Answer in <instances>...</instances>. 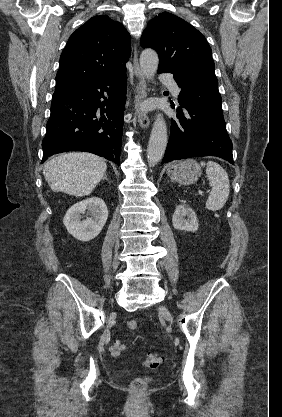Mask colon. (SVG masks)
<instances>
[{
    "label": "colon",
    "instance_id": "colon-1",
    "mask_svg": "<svg viewBox=\"0 0 282 417\" xmlns=\"http://www.w3.org/2000/svg\"><path fill=\"white\" fill-rule=\"evenodd\" d=\"M127 328L132 331L136 332L139 328L138 322L135 319L128 320L126 323ZM125 349L124 344L121 341H115L109 348V353L113 358H119ZM162 360L161 356L157 353H149L144 361L143 367L148 369H157L161 365ZM149 378L147 377H139L136 379H131V391L132 393H136L134 396V401L136 403H143L145 401V396L143 393H149L150 386H149Z\"/></svg>",
    "mask_w": 282,
    "mask_h": 417
}]
</instances>
